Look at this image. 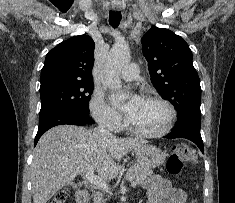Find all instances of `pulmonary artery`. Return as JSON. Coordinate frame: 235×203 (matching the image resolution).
I'll list each match as a JSON object with an SVG mask.
<instances>
[{
  "instance_id": "e3ab8cb5",
  "label": "pulmonary artery",
  "mask_w": 235,
  "mask_h": 203,
  "mask_svg": "<svg viewBox=\"0 0 235 203\" xmlns=\"http://www.w3.org/2000/svg\"><path fill=\"white\" fill-rule=\"evenodd\" d=\"M120 77L125 81H133L138 77V66L134 63L128 64L120 72Z\"/></svg>"
}]
</instances>
